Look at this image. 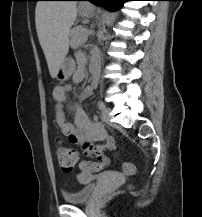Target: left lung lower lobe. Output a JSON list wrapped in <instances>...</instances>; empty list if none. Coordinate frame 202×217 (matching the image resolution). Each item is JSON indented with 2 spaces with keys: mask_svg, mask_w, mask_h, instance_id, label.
Instances as JSON below:
<instances>
[{
  "mask_svg": "<svg viewBox=\"0 0 202 217\" xmlns=\"http://www.w3.org/2000/svg\"><path fill=\"white\" fill-rule=\"evenodd\" d=\"M84 1H90L91 3H94L99 6H103L105 9L113 12L119 10L123 3L126 1L131 0H84Z\"/></svg>",
  "mask_w": 202,
  "mask_h": 217,
  "instance_id": "left-lung-lower-lobe-1",
  "label": "left lung lower lobe"
}]
</instances>
